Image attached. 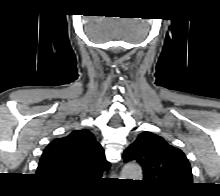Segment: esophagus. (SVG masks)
I'll list each match as a JSON object with an SVG mask.
<instances>
[{"mask_svg": "<svg viewBox=\"0 0 220 196\" xmlns=\"http://www.w3.org/2000/svg\"><path fill=\"white\" fill-rule=\"evenodd\" d=\"M111 176H112V177H117V171H116V169L112 171Z\"/></svg>", "mask_w": 220, "mask_h": 196, "instance_id": "esophagus-1", "label": "esophagus"}]
</instances>
